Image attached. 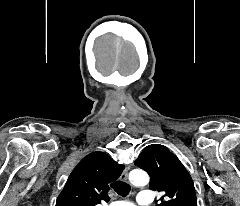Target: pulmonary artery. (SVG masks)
Returning <instances> with one entry per match:
<instances>
[{"label": "pulmonary artery", "instance_id": "pulmonary-artery-1", "mask_svg": "<svg viewBox=\"0 0 240 206\" xmlns=\"http://www.w3.org/2000/svg\"><path fill=\"white\" fill-rule=\"evenodd\" d=\"M137 204L140 206H147L152 202V193L149 190L140 191L137 195ZM110 206H135L132 202L129 201H116L113 202Z\"/></svg>", "mask_w": 240, "mask_h": 206}]
</instances>
